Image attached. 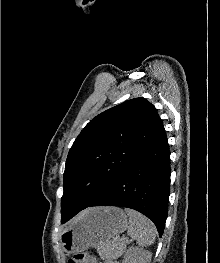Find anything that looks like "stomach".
<instances>
[{
    "label": "stomach",
    "instance_id": "0dacf381",
    "mask_svg": "<svg viewBox=\"0 0 220 263\" xmlns=\"http://www.w3.org/2000/svg\"><path fill=\"white\" fill-rule=\"evenodd\" d=\"M128 218L117 207L90 208L79 215L60 235V244L67 254L89 247H100L128 228Z\"/></svg>",
    "mask_w": 220,
    "mask_h": 263
}]
</instances>
